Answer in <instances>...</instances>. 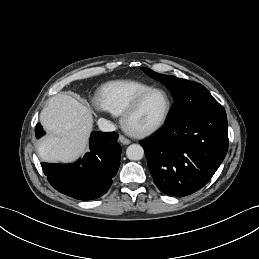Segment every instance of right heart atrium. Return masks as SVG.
<instances>
[{
    "instance_id": "obj_1",
    "label": "right heart atrium",
    "mask_w": 259,
    "mask_h": 259,
    "mask_svg": "<svg viewBox=\"0 0 259 259\" xmlns=\"http://www.w3.org/2000/svg\"><path fill=\"white\" fill-rule=\"evenodd\" d=\"M94 108L98 113H103L105 111L104 107L100 103V101L94 102Z\"/></svg>"
}]
</instances>
